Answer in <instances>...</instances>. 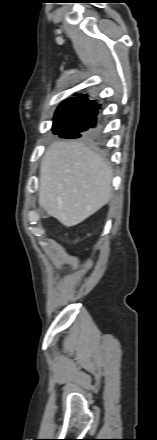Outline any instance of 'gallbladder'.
Masks as SVG:
<instances>
[{"label":"gallbladder","instance_id":"obj_1","mask_svg":"<svg viewBox=\"0 0 157 440\" xmlns=\"http://www.w3.org/2000/svg\"><path fill=\"white\" fill-rule=\"evenodd\" d=\"M39 210H40L41 214L43 215L44 214V209H43V207L41 205L39 207Z\"/></svg>","mask_w":157,"mask_h":440}]
</instances>
